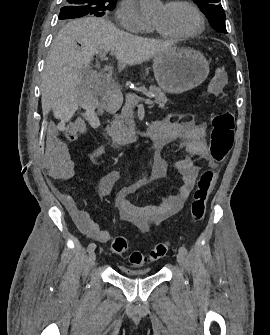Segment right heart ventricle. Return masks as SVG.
Segmentation results:
<instances>
[{"label": "right heart ventricle", "instance_id": "obj_1", "mask_svg": "<svg viewBox=\"0 0 270 335\" xmlns=\"http://www.w3.org/2000/svg\"><path fill=\"white\" fill-rule=\"evenodd\" d=\"M160 78H170V77H160Z\"/></svg>", "mask_w": 270, "mask_h": 335}]
</instances>
